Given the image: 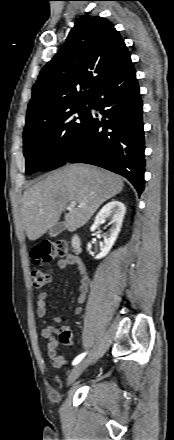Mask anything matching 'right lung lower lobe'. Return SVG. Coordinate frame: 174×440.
<instances>
[{"instance_id": "1", "label": "right lung lower lobe", "mask_w": 174, "mask_h": 440, "mask_svg": "<svg viewBox=\"0 0 174 440\" xmlns=\"http://www.w3.org/2000/svg\"><path fill=\"white\" fill-rule=\"evenodd\" d=\"M89 101L101 116L90 112L86 129L66 162L92 164L120 174L141 194L145 184L143 110L131 60L103 80Z\"/></svg>"}]
</instances>
